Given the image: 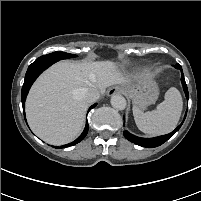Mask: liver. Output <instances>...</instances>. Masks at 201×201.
<instances>
[{
  "instance_id": "obj_1",
  "label": "liver",
  "mask_w": 201,
  "mask_h": 201,
  "mask_svg": "<svg viewBox=\"0 0 201 201\" xmlns=\"http://www.w3.org/2000/svg\"><path fill=\"white\" fill-rule=\"evenodd\" d=\"M131 83L112 61H60L33 84L26 100V118L42 140L62 145L82 131L89 102L86 88L104 93L112 85Z\"/></svg>"
}]
</instances>
